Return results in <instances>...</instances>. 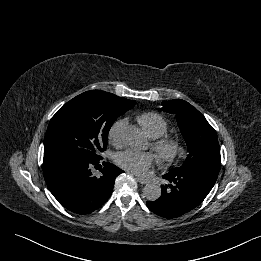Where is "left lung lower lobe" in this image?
Returning a JSON list of instances; mask_svg holds the SVG:
<instances>
[{"instance_id":"1","label":"left lung lower lobe","mask_w":261,"mask_h":261,"mask_svg":"<svg viewBox=\"0 0 261 261\" xmlns=\"http://www.w3.org/2000/svg\"><path fill=\"white\" fill-rule=\"evenodd\" d=\"M218 174L198 167L170 170L163 178L161 196L147 201L148 208L167 219L176 218L197 207L209 194Z\"/></svg>"}]
</instances>
